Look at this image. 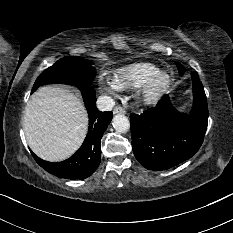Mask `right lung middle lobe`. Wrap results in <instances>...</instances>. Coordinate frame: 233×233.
<instances>
[{"label": "right lung middle lobe", "mask_w": 233, "mask_h": 233, "mask_svg": "<svg viewBox=\"0 0 233 233\" xmlns=\"http://www.w3.org/2000/svg\"><path fill=\"white\" fill-rule=\"evenodd\" d=\"M96 69L92 62L80 57H66L58 60L38 76L32 92L39 86L64 83L74 86H89L94 80Z\"/></svg>", "instance_id": "obj_1"}]
</instances>
